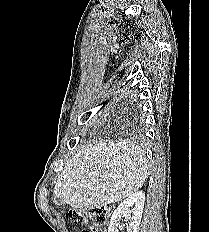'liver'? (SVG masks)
<instances>
[{
  "instance_id": "liver-1",
  "label": "liver",
  "mask_w": 209,
  "mask_h": 232,
  "mask_svg": "<svg viewBox=\"0 0 209 232\" xmlns=\"http://www.w3.org/2000/svg\"><path fill=\"white\" fill-rule=\"evenodd\" d=\"M148 175V160L141 147L130 140H96L66 163L53 192L74 210L93 209L129 197Z\"/></svg>"
}]
</instances>
